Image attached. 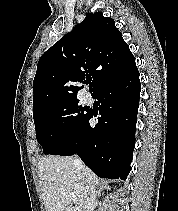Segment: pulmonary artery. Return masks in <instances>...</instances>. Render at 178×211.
Returning a JSON list of instances; mask_svg holds the SVG:
<instances>
[{"instance_id": "pulmonary-artery-1", "label": "pulmonary artery", "mask_w": 178, "mask_h": 211, "mask_svg": "<svg viewBox=\"0 0 178 211\" xmlns=\"http://www.w3.org/2000/svg\"><path fill=\"white\" fill-rule=\"evenodd\" d=\"M85 101L88 102V103H90L92 101V96H91L90 93H86V95H85Z\"/></svg>"}]
</instances>
